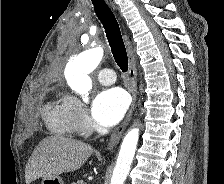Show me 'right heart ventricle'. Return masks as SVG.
<instances>
[{"mask_svg": "<svg viewBox=\"0 0 224 184\" xmlns=\"http://www.w3.org/2000/svg\"><path fill=\"white\" fill-rule=\"evenodd\" d=\"M46 123L50 131L54 134L70 136L75 132V127L65 99L48 106Z\"/></svg>", "mask_w": 224, "mask_h": 184, "instance_id": "right-heart-ventricle-1", "label": "right heart ventricle"}]
</instances>
